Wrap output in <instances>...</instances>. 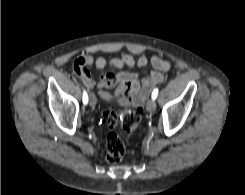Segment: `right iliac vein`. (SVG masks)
I'll return each instance as SVG.
<instances>
[{
	"label": "right iliac vein",
	"mask_w": 245,
	"mask_h": 195,
	"mask_svg": "<svg viewBox=\"0 0 245 195\" xmlns=\"http://www.w3.org/2000/svg\"><path fill=\"white\" fill-rule=\"evenodd\" d=\"M89 105L91 107H94L96 105V97L94 94H90V97H89Z\"/></svg>",
	"instance_id": "obj_1"
}]
</instances>
